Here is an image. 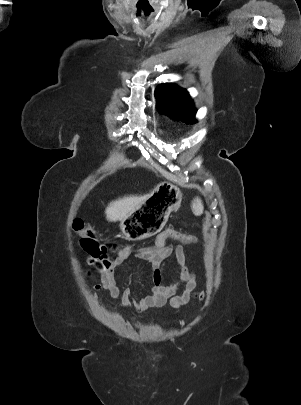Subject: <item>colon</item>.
I'll use <instances>...</instances> for the list:
<instances>
[{
    "label": "colon",
    "instance_id": "5ec220e1",
    "mask_svg": "<svg viewBox=\"0 0 301 405\" xmlns=\"http://www.w3.org/2000/svg\"><path fill=\"white\" fill-rule=\"evenodd\" d=\"M72 228L75 233L81 236L80 242L82 246L91 253L94 257H105L109 245L100 243L97 238V233L91 226H85L81 220L74 221ZM163 233L171 236L174 243H181L182 246H192L198 241L195 234H186L176 231L175 224H166ZM160 235V234H159Z\"/></svg>",
    "mask_w": 301,
    "mask_h": 405
}]
</instances>
